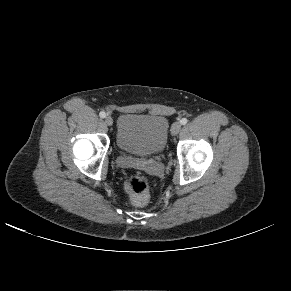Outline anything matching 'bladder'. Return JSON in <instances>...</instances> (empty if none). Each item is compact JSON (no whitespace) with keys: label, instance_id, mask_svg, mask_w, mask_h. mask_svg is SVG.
Wrapping results in <instances>:
<instances>
[{"label":"bladder","instance_id":"bladder-1","mask_svg":"<svg viewBox=\"0 0 291 291\" xmlns=\"http://www.w3.org/2000/svg\"><path fill=\"white\" fill-rule=\"evenodd\" d=\"M169 122L162 115L126 113L120 116L116 144L123 152L140 157L158 155L166 147Z\"/></svg>","mask_w":291,"mask_h":291}]
</instances>
